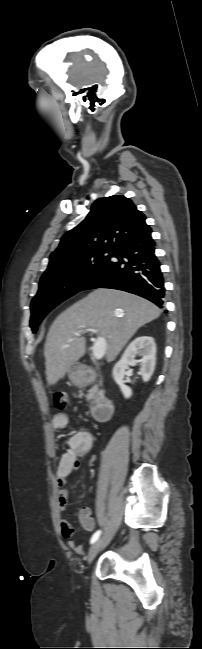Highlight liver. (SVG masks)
<instances>
[{
	"label": "liver",
	"mask_w": 202,
	"mask_h": 649,
	"mask_svg": "<svg viewBox=\"0 0 202 649\" xmlns=\"http://www.w3.org/2000/svg\"><path fill=\"white\" fill-rule=\"evenodd\" d=\"M161 310L137 295L96 289L63 311L47 334L44 357L46 379L56 384L85 353V338L76 332L93 328L106 341L110 362L120 353L137 329L157 319Z\"/></svg>",
	"instance_id": "6515ba94"
}]
</instances>
